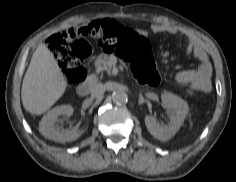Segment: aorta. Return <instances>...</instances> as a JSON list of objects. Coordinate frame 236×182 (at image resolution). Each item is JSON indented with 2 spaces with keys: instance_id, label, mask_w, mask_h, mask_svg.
I'll return each mask as SVG.
<instances>
[{
  "instance_id": "aorta-1",
  "label": "aorta",
  "mask_w": 236,
  "mask_h": 182,
  "mask_svg": "<svg viewBox=\"0 0 236 182\" xmlns=\"http://www.w3.org/2000/svg\"><path fill=\"white\" fill-rule=\"evenodd\" d=\"M113 102L116 104H125L128 100V95L122 90H117L112 95Z\"/></svg>"
}]
</instances>
